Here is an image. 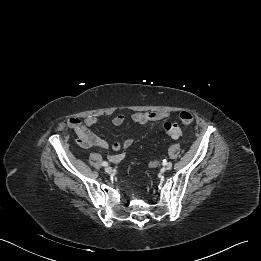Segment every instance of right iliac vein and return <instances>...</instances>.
Listing matches in <instances>:
<instances>
[{"instance_id": "right-iliac-vein-1", "label": "right iliac vein", "mask_w": 261, "mask_h": 261, "mask_svg": "<svg viewBox=\"0 0 261 261\" xmlns=\"http://www.w3.org/2000/svg\"><path fill=\"white\" fill-rule=\"evenodd\" d=\"M105 172H106V173H111V172H112V168L109 167V166L106 167V168H105Z\"/></svg>"}]
</instances>
